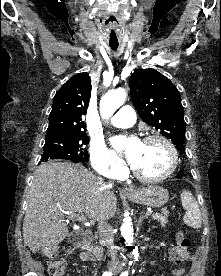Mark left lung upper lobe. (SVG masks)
<instances>
[{
    "mask_svg": "<svg viewBox=\"0 0 221 276\" xmlns=\"http://www.w3.org/2000/svg\"><path fill=\"white\" fill-rule=\"evenodd\" d=\"M133 104L141 119L171 139L181 154L185 152L184 108L178 89L154 69H138L130 77Z\"/></svg>",
    "mask_w": 221,
    "mask_h": 276,
    "instance_id": "left-lung-upper-lobe-1",
    "label": "left lung upper lobe"
}]
</instances>
